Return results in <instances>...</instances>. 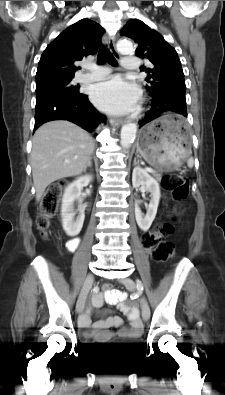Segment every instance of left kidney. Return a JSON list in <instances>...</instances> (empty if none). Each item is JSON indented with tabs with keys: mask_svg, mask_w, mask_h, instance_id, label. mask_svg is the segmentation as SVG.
I'll return each instance as SVG.
<instances>
[{
	"mask_svg": "<svg viewBox=\"0 0 225 395\" xmlns=\"http://www.w3.org/2000/svg\"><path fill=\"white\" fill-rule=\"evenodd\" d=\"M132 185L134 188L143 186L148 192L151 193V200L146 216L143 217V214L138 206L139 201H135V217L137 224L141 230L147 231L150 228L157 213L160 200L159 184L156 179L147 173V171L140 167H135L132 173Z\"/></svg>",
	"mask_w": 225,
	"mask_h": 395,
	"instance_id": "1",
	"label": "left kidney"
}]
</instances>
